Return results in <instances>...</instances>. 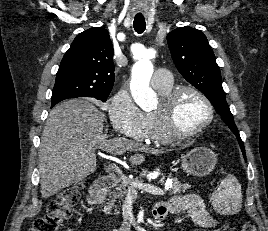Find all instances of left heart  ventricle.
<instances>
[{"label":"left heart ventricle","mask_w":268,"mask_h":231,"mask_svg":"<svg viewBox=\"0 0 268 231\" xmlns=\"http://www.w3.org/2000/svg\"><path fill=\"white\" fill-rule=\"evenodd\" d=\"M205 103L194 93L185 92L179 98L175 109L176 126L181 131L195 129L207 118Z\"/></svg>","instance_id":"left-heart-ventricle-1"}]
</instances>
